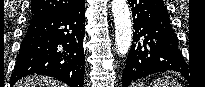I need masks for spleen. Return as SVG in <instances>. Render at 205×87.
Masks as SVG:
<instances>
[{"instance_id":"1","label":"spleen","mask_w":205,"mask_h":87,"mask_svg":"<svg viewBox=\"0 0 205 87\" xmlns=\"http://www.w3.org/2000/svg\"><path fill=\"white\" fill-rule=\"evenodd\" d=\"M153 87H181L180 84L171 77H165L163 79H158L153 83Z\"/></svg>"}]
</instances>
